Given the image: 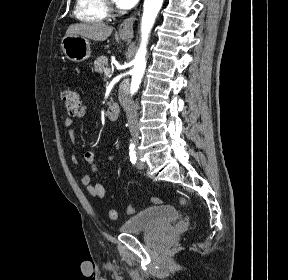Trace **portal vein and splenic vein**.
<instances>
[{
    "label": "portal vein and splenic vein",
    "mask_w": 288,
    "mask_h": 280,
    "mask_svg": "<svg viewBox=\"0 0 288 280\" xmlns=\"http://www.w3.org/2000/svg\"><path fill=\"white\" fill-rule=\"evenodd\" d=\"M104 74H105L106 76H108V75L110 74V69L106 68V69L104 70Z\"/></svg>",
    "instance_id": "obj_1"
}]
</instances>
